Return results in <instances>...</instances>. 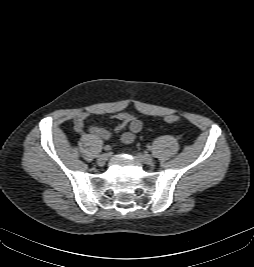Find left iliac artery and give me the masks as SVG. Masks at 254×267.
Returning <instances> with one entry per match:
<instances>
[{
  "mask_svg": "<svg viewBox=\"0 0 254 267\" xmlns=\"http://www.w3.org/2000/svg\"><path fill=\"white\" fill-rule=\"evenodd\" d=\"M148 150H152V147L150 145L147 146Z\"/></svg>",
  "mask_w": 254,
  "mask_h": 267,
  "instance_id": "44dca946",
  "label": "left iliac artery"
}]
</instances>
